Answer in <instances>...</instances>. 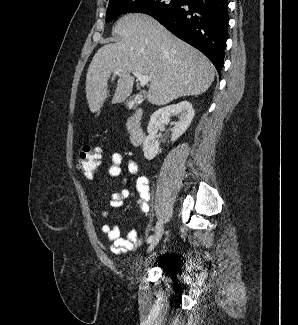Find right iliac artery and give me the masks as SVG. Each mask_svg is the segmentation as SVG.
Returning a JSON list of instances; mask_svg holds the SVG:
<instances>
[{
	"label": "right iliac artery",
	"mask_w": 298,
	"mask_h": 325,
	"mask_svg": "<svg viewBox=\"0 0 298 325\" xmlns=\"http://www.w3.org/2000/svg\"><path fill=\"white\" fill-rule=\"evenodd\" d=\"M153 239H154V236H150V237L147 239V242H148V243H151V242L153 241Z\"/></svg>",
	"instance_id": "1"
}]
</instances>
